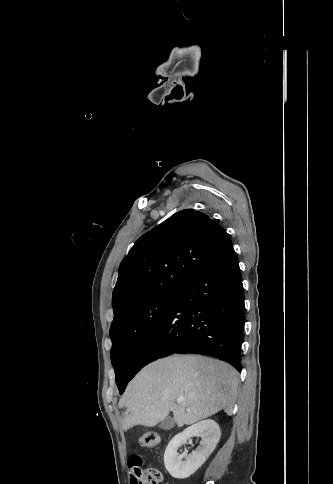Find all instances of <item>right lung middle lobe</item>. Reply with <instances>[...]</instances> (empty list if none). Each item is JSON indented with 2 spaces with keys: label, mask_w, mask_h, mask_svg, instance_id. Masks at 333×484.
<instances>
[{
  "label": "right lung middle lobe",
  "mask_w": 333,
  "mask_h": 484,
  "mask_svg": "<svg viewBox=\"0 0 333 484\" xmlns=\"http://www.w3.org/2000/svg\"><path fill=\"white\" fill-rule=\"evenodd\" d=\"M179 290H171L152 297L125 312L112 322L111 361L120 394L130 381L140 348L172 307Z\"/></svg>",
  "instance_id": "obj_1"
}]
</instances>
